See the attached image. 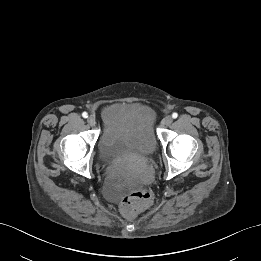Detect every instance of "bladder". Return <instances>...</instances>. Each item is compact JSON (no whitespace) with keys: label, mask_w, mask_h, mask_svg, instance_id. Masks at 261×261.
<instances>
[{"label":"bladder","mask_w":261,"mask_h":261,"mask_svg":"<svg viewBox=\"0 0 261 261\" xmlns=\"http://www.w3.org/2000/svg\"><path fill=\"white\" fill-rule=\"evenodd\" d=\"M99 150L106 159L127 160L151 156L157 147L156 138L148 126L124 128L114 133L105 132L99 140Z\"/></svg>","instance_id":"obj_1"}]
</instances>
